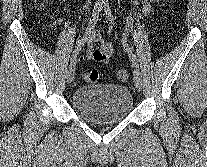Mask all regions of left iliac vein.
<instances>
[{"instance_id": "1", "label": "left iliac vein", "mask_w": 207, "mask_h": 167, "mask_svg": "<svg viewBox=\"0 0 207 167\" xmlns=\"http://www.w3.org/2000/svg\"><path fill=\"white\" fill-rule=\"evenodd\" d=\"M133 80L134 84L138 91H141L142 89V77L138 69H135L133 72Z\"/></svg>"}]
</instances>
